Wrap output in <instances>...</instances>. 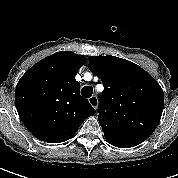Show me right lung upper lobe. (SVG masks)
Instances as JSON below:
<instances>
[{"instance_id":"cb5924a9","label":"right lung upper lobe","mask_w":178,"mask_h":178,"mask_svg":"<svg viewBox=\"0 0 178 178\" xmlns=\"http://www.w3.org/2000/svg\"><path fill=\"white\" fill-rule=\"evenodd\" d=\"M85 56L57 52L31 67L15 90L17 112L26 128L38 139L60 143L70 139L83 121L95 114L80 95L75 76Z\"/></svg>"}]
</instances>
